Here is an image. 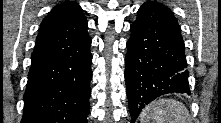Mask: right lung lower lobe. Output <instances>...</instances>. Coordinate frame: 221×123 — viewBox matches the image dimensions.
Segmentation results:
<instances>
[{"label": "right lung lower lobe", "instance_id": "right-lung-lower-lobe-1", "mask_svg": "<svg viewBox=\"0 0 221 123\" xmlns=\"http://www.w3.org/2000/svg\"><path fill=\"white\" fill-rule=\"evenodd\" d=\"M91 38L36 47L24 94L22 123H87Z\"/></svg>", "mask_w": 221, "mask_h": 123}]
</instances>
